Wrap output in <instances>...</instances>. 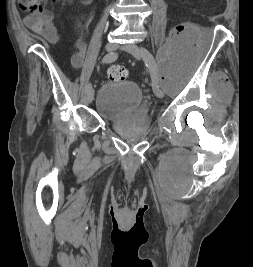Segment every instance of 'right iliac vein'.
I'll use <instances>...</instances> for the list:
<instances>
[{"instance_id": "63e3f726", "label": "right iliac vein", "mask_w": 253, "mask_h": 267, "mask_svg": "<svg viewBox=\"0 0 253 267\" xmlns=\"http://www.w3.org/2000/svg\"><path fill=\"white\" fill-rule=\"evenodd\" d=\"M118 45L113 42H109L106 44L105 49L107 52H113L117 49ZM94 98V90L91 87L89 90L86 92V102L91 103Z\"/></svg>"}]
</instances>
